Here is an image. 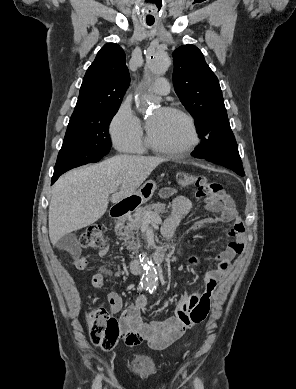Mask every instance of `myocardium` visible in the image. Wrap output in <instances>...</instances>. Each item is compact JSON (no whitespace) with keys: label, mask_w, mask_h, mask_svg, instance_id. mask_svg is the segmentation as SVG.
<instances>
[{"label":"myocardium","mask_w":296,"mask_h":389,"mask_svg":"<svg viewBox=\"0 0 296 389\" xmlns=\"http://www.w3.org/2000/svg\"><path fill=\"white\" fill-rule=\"evenodd\" d=\"M164 110L171 112V113H174V114H177L185 119V121L187 122L188 128H189V133H190L189 140L184 145H182L180 147H166V146H162V145L157 144L153 140V138L148 130L147 143H148L149 147L152 148L153 150L159 152V153L170 155V156L179 157V156L187 155L199 143V133H198L196 122H195L193 116L190 113H188L187 111H185L179 107H175V106L165 107Z\"/></svg>","instance_id":"myocardium-1"}]
</instances>
